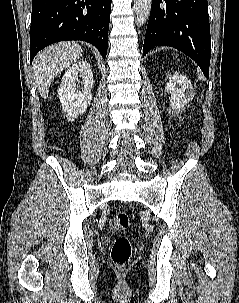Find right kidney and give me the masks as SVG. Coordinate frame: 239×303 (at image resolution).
<instances>
[{
    "label": "right kidney",
    "instance_id": "1",
    "mask_svg": "<svg viewBox=\"0 0 239 303\" xmlns=\"http://www.w3.org/2000/svg\"><path fill=\"white\" fill-rule=\"evenodd\" d=\"M78 76L82 78L84 89L78 90ZM79 82V81H78ZM94 86L93 73L87 61L73 64L62 77L58 96L62 109L69 121L83 114L91 103V90Z\"/></svg>",
    "mask_w": 239,
    "mask_h": 303
}]
</instances>
